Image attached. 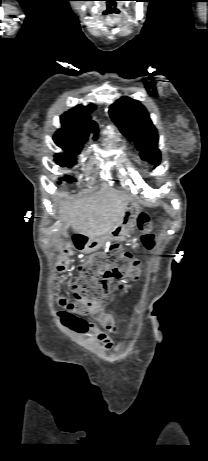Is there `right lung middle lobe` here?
Returning a JSON list of instances; mask_svg holds the SVG:
<instances>
[{
  "mask_svg": "<svg viewBox=\"0 0 208 461\" xmlns=\"http://www.w3.org/2000/svg\"><path fill=\"white\" fill-rule=\"evenodd\" d=\"M96 137L97 136L95 135L94 138ZM53 139L59 147L63 148L66 151V153H59L55 155V161L57 162V164H59L60 166L67 167H72L73 165H75L77 163L76 155L80 153L81 149L83 148V141H86L87 137L81 139H72L69 137L55 134ZM67 177L70 176H65L61 179L68 180ZM72 181L76 180L70 177V180H68V182Z\"/></svg>",
  "mask_w": 208,
  "mask_h": 461,
  "instance_id": "1",
  "label": "right lung middle lobe"
}]
</instances>
